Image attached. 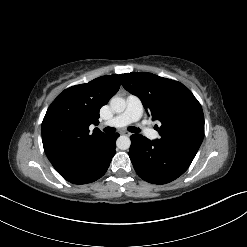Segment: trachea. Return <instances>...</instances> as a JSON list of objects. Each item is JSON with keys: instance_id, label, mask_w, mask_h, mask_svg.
Here are the masks:
<instances>
[{"instance_id": "1", "label": "trachea", "mask_w": 247, "mask_h": 247, "mask_svg": "<svg viewBox=\"0 0 247 247\" xmlns=\"http://www.w3.org/2000/svg\"><path fill=\"white\" fill-rule=\"evenodd\" d=\"M115 130H116L115 128L106 127L104 129V132H106V133H113V132H115ZM128 131H130L132 133H138L140 131V129L139 128H136V127H128Z\"/></svg>"}]
</instances>
